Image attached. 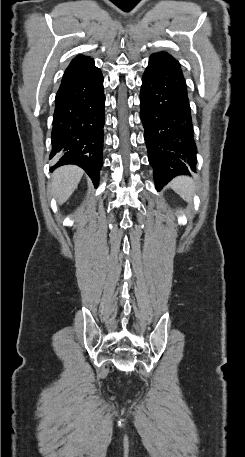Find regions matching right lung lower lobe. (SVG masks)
Returning a JSON list of instances; mask_svg holds the SVG:
<instances>
[{"mask_svg":"<svg viewBox=\"0 0 245 457\" xmlns=\"http://www.w3.org/2000/svg\"><path fill=\"white\" fill-rule=\"evenodd\" d=\"M105 95L100 69L63 77L55 98L51 170L65 164L83 168L95 186L102 167Z\"/></svg>","mask_w":245,"mask_h":457,"instance_id":"right-lung-lower-lobe-1","label":"right lung lower lobe"}]
</instances>
